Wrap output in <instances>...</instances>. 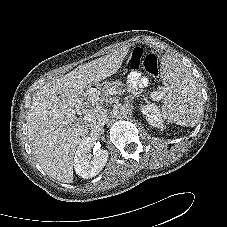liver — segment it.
<instances>
[{
  "label": "liver",
  "instance_id": "obj_1",
  "mask_svg": "<svg viewBox=\"0 0 227 227\" xmlns=\"http://www.w3.org/2000/svg\"><path fill=\"white\" fill-rule=\"evenodd\" d=\"M127 53L124 47L79 65L33 95L27 118L28 138L38 164L52 178L73 182L74 154L89 131L87 126L74 123L84 105L85 91L116 73Z\"/></svg>",
  "mask_w": 227,
  "mask_h": 227
}]
</instances>
